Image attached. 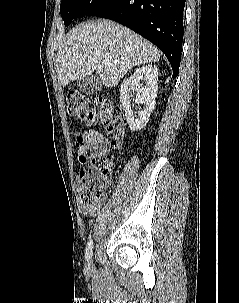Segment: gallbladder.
Listing matches in <instances>:
<instances>
[{"instance_id":"obj_1","label":"gallbladder","mask_w":239,"mask_h":303,"mask_svg":"<svg viewBox=\"0 0 239 303\" xmlns=\"http://www.w3.org/2000/svg\"><path fill=\"white\" fill-rule=\"evenodd\" d=\"M102 86V81L98 74H91L81 79L77 83L78 89L87 95H91L98 91Z\"/></svg>"}]
</instances>
